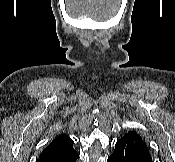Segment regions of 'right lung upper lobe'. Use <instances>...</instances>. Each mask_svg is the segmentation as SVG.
I'll return each mask as SVG.
<instances>
[{
  "mask_svg": "<svg viewBox=\"0 0 175 162\" xmlns=\"http://www.w3.org/2000/svg\"><path fill=\"white\" fill-rule=\"evenodd\" d=\"M73 148V141L65 134L57 136L44 150V152L58 151Z\"/></svg>",
  "mask_w": 175,
  "mask_h": 162,
  "instance_id": "1",
  "label": "right lung upper lobe"
}]
</instances>
